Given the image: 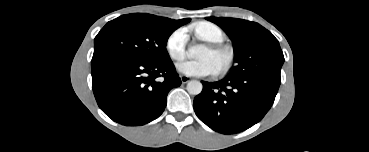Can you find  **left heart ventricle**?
I'll use <instances>...</instances> for the list:
<instances>
[{"label":"left heart ventricle","mask_w":369,"mask_h":152,"mask_svg":"<svg viewBox=\"0 0 369 152\" xmlns=\"http://www.w3.org/2000/svg\"><path fill=\"white\" fill-rule=\"evenodd\" d=\"M203 57H210V58H212L215 61L217 67H219V65L221 63V59L216 54H214L210 48H208L205 51V53L203 54Z\"/></svg>","instance_id":"1"}]
</instances>
